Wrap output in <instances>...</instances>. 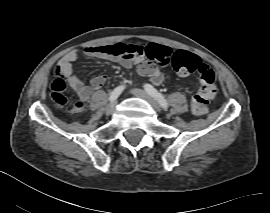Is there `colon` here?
<instances>
[{
  "label": "colon",
  "instance_id": "colon-1",
  "mask_svg": "<svg viewBox=\"0 0 270 213\" xmlns=\"http://www.w3.org/2000/svg\"><path fill=\"white\" fill-rule=\"evenodd\" d=\"M112 50L119 56H143L144 48L135 44L116 43L111 45ZM171 64L180 77L187 76L192 72H197L200 77L201 87L198 92L193 96L191 102L192 112L196 115H202L207 112L210 100L216 94L215 74L214 71L206 64L200 61V58L186 51H177L173 55L170 62L165 65ZM52 99L60 104L65 105L66 101L63 96L60 82L55 80L52 85ZM73 106L83 109V104L76 102Z\"/></svg>",
  "mask_w": 270,
  "mask_h": 213
}]
</instances>
